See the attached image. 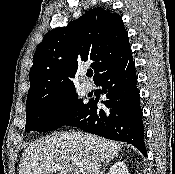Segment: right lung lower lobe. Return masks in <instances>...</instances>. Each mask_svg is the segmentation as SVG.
<instances>
[{"mask_svg":"<svg viewBox=\"0 0 175 174\" xmlns=\"http://www.w3.org/2000/svg\"><path fill=\"white\" fill-rule=\"evenodd\" d=\"M95 83L101 86L106 94V108L98 109L97 102L91 99L67 126H75L88 133L130 143L146 156L143 113L131 52L109 66Z\"/></svg>","mask_w":175,"mask_h":174,"instance_id":"right-lung-lower-lobe-1","label":"right lung lower lobe"}]
</instances>
